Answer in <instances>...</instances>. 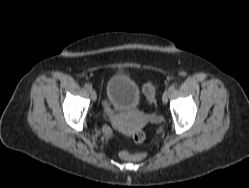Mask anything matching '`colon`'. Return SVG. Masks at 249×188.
<instances>
[{
	"label": "colon",
	"mask_w": 249,
	"mask_h": 188,
	"mask_svg": "<svg viewBox=\"0 0 249 188\" xmlns=\"http://www.w3.org/2000/svg\"><path fill=\"white\" fill-rule=\"evenodd\" d=\"M143 94L146 97V99L149 102H152L155 98V88L151 83H147L144 85L143 87ZM110 134H112V132L109 131ZM144 140V133L141 131H137L133 134V141L135 143H142ZM143 154H132L130 152L127 151H123L120 153V157L124 160H132V159H136V158H140L142 157Z\"/></svg>",
	"instance_id": "obj_1"
}]
</instances>
